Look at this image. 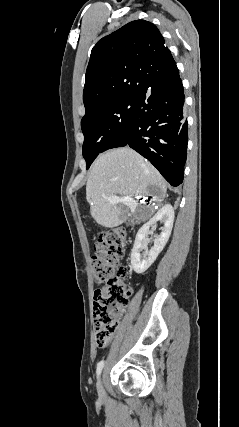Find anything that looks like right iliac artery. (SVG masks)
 Listing matches in <instances>:
<instances>
[{"label": "right iliac artery", "mask_w": 239, "mask_h": 427, "mask_svg": "<svg viewBox=\"0 0 239 427\" xmlns=\"http://www.w3.org/2000/svg\"><path fill=\"white\" fill-rule=\"evenodd\" d=\"M103 367H104V361L102 360L97 364V370H96L97 376L101 374Z\"/></svg>", "instance_id": "1"}]
</instances>
